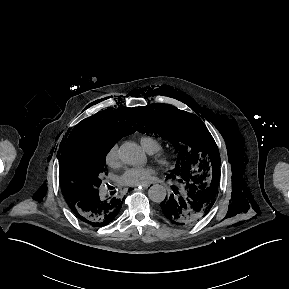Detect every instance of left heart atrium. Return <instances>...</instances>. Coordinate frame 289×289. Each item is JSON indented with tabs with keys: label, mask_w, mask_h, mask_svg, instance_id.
Here are the masks:
<instances>
[{
	"label": "left heart atrium",
	"mask_w": 289,
	"mask_h": 289,
	"mask_svg": "<svg viewBox=\"0 0 289 289\" xmlns=\"http://www.w3.org/2000/svg\"><path fill=\"white\" fill-rule=\"evenodd\" d=\"M154 174L151 167L129 168L120 176L119 181L127 186H142L150 183Z\"/></svg>",
	"instance_id": "left-heart-atrium-1"
}]
</instances>
